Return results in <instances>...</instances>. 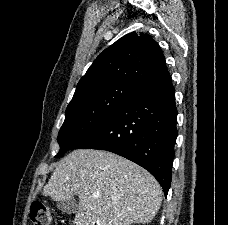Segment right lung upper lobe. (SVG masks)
Returning a JSON list of instances; mask_svg holds the SVG:
<instances>
[{"label": "right lung upper lobe", "mask_w": 228, "mask_h": 225, "mask_svg": "<svg viewBox=\"0 0 228 225\" xmlns=\"http://www.w3.org/2000/svg\"><path fill=\"white\" fill-rule=\"evenodd\" d=\"M165 67V57L150 35L129 33L95 59L80 79L72 101L91 87L111 82H123L141 88Z\"/></svg>", "instance_id": "right-lung-upper-lobe-1"}]
</instances>
